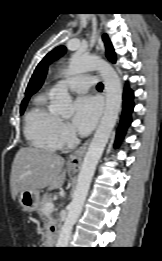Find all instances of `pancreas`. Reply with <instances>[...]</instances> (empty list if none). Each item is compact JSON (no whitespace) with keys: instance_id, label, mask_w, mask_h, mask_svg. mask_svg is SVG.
<instances>
[{"instance_id":"1","label":"pancreas","mask_w":162,"mask_h":261,"mask_svg":"<svg viewBox=\"0 0 162 261\" xmlns=\"http://www.w3.org/2000/svg\"><path fill=\"white\" fill-rule=\"evenodd\" d=\"M52 199L48 194H44L41 201L39 202L37 212L40 216V218L44 221V234H43V240H45V243H49L52 236L53 232L50 230V228L55 225L56 220L53 218L51 213L46 214L44 212V206L46 203L51 202Z\"/></svg>"}]
</instances>
